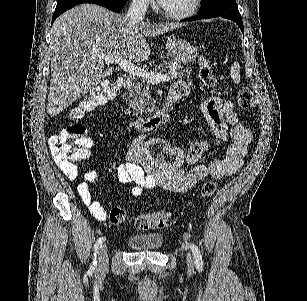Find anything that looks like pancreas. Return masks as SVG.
<instances>
[{
    "instance_id": "pancreas-1",
    "label": "pancreas",
    "mask_w": 307,
    "mask_h": 301,
    "mask_svg": "<svg viewBox=\"0 0 307 301\" xmlns=\"http://www.w3.org/2000/svg\"><path fill=\"white\" fill-rule=\"evenodd\" d=\"M152 70L153 72H160V74L167 72L171 78H183L187 68H183L180 64H175V62L164 60V62L157 64ZM150 88L151 82L144 78V80H137L133 90H130L128 94L131 98V106L139 116H146V114L154 112L156 108V102L151 96Z\"/></svg>"
}]
</instances>
